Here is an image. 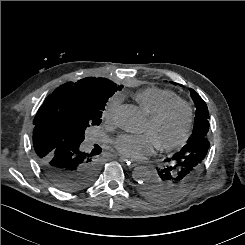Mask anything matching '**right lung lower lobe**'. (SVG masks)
Returning <instances> with one entry per match:
<instances>
[{
	"instance_id": "right-lung-lower-lobe-1",
	"label": "right lung lower lobe",
	"mask_w": 245,
	"mask_h": 245,
	"mask_svg": "<svg viewBox=\"0 0 245 245\" xmlns=\"http://www.w3.org/2000/svg\"><path fill=\"white\" fill-rule=\"evenodd\" d=\"M80 144L61 139L54 133L33 136V145L42 173L56 188L76 192L88 187L97 177L100 165Z\"/></svg>"
}]
</instances>
